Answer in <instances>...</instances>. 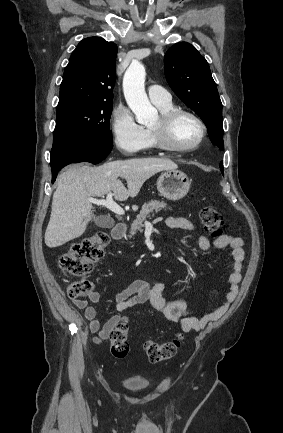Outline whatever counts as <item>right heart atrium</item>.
<instances>
[{
  "mask_svg": "<svg viewBox=\"0 0 283 433\" xmlns=\"http://www.w3.org/2000/svg\"><path fill=\"white\" fill-rule=\"evenodd\" d=\"M109 125L113 145L124 155L139 154L142 145L152 142L148 131L136 123L128 108L115 106L110 114Z\"/></svg>",
  "mask_w": 283,
  "mask_h": 433,
  "instance_id": "obj_1",
  "label": "right heart atrium"
}]
</instances>
